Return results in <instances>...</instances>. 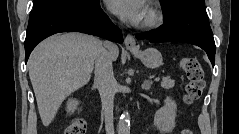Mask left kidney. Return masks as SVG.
Segmentation results:
<instances>
[{
  "label": "left kidney",
  "instance_id": "5707ae66",
  "mask_svg": "<svg viewBox=\"0 0 239 134\" xmlns=\"http://www.w3.org/2000/svg\"><path fill=\"white\" fill-rule=\"evenodd\" d=\"M177 105L171 98L164 100V106L154 115V125L162 134L171 133L175 127Z\"/></svg>",
  "mask_w": 239,
  "mask_h": 134
}]
</instances>
